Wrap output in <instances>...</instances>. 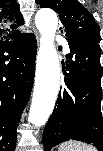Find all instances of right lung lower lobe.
Returning a JSON list of instances; mask_svg holds the SVG:
<instances>
[{"mask_svg": "<svg viewBox=\"0 0 103 151\" xmlns=\"http://www.w3.org/2000/svg\"><path fill=\"white\" fill-rule=\"evenodd\" d=\"M37 43L21 34L0 43V151H15L16 129L30 96Z\"/></svg>", "mask_w": 103, "mask_h": 151, "instance_id": "right-lung-lower-lobe-1", "label": "right lung lower lobe"}]
</instances>
